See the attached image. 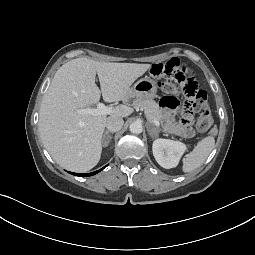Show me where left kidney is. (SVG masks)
Listing matches in <instances>:
<instances>
[{"mask_svg": "<svg viewBox=\"0 0 255 255\" xmlns=\"http://www.w3.org/2000/svg\"><path fill=\"white\" fill-rule=\"evenodd\" d=\"M186 149V145L180 141L162 138L156 139L152 145L155 160L166 169L176 167Z\"/></svg>", "mask_w": 255, "mask_h": 255, "instance_id": "obj_1", "label": "left kidney"}]
</instances>
